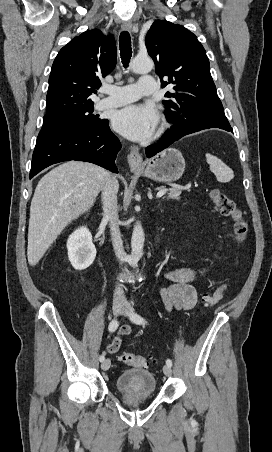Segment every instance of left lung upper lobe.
Wrapping results in <instances>:
<instances>
[{"mask_svg":"<svg viewBox=\"0 0 272 452\" xmlns=\"http://www.w3.org/2000/svg\"><path fill=\"white\" fill-rule=\"evenodd\" d=\"M161 87L175 92L163 100L167 120L182 126L228 124L210 74L209 59L197 37L182 25L156 20L146 39ZM166 77L167 81H163Z\"/></svg>","mask_w":272,"mask_h":452,"instance_id":"left-lung-upper-lobe-1","label":"left lung upper lobe"}]
</instances>
